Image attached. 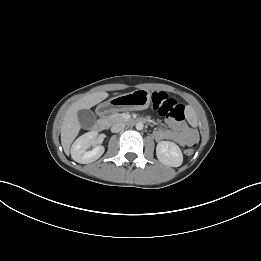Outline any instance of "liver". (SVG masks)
Returning <instances> with one entry per match:
<instances>
[{
    "label": "liver",
    "instance_id": "1",
    "mask_svg": "<svg viewBox=\"0 0 261 261\" xmlns=\"http://www.w3.org/2000/svg\"><path fill=\"white\" fill-rule=\"evenodd\" d=\"M108 96V93L104 91L87 94L67 110L61 125V144L66 154H69L70 146L81 129L77 115L78 111L90 109Z\"/></svg>",
    "mask_w": 261,
    "mask_h": 261
}]
</instances>
